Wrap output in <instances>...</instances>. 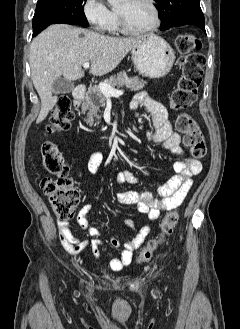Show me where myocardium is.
Returning a JSON list of instances; mask_svg holds the SVG:
<instances>
[{"instance_id": "f54148a6", "label": "myocardium", "mask_w": 240, "mask_h": 329, "mask_svg": "<svg viewBox=\"0 0 240 329\" xmlns=\"http://www.w3.org/2000/svg\"><path fill=\"white\" fill-rule=\"evenodd\" d=\"M148 2V4L150 5V7L153 10V14H154V21L153 23L144 29H132L127 25V22L123 16V14L117 9L116 10V14H117V18H118V25H119V30L127 35H132V36H142V35H147L150 34L152 32H154L155 30H157L160 25H161V13H160V9L156 3L155 0H146Z\"/></svg>"}]
</instances>
